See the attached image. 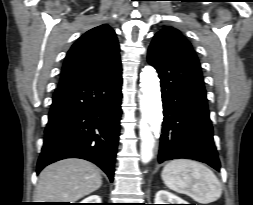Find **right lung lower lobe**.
Instances as JSON below:
<instances>
[{
  "instance_id": "98d812e1",
  "label": "right lung lower lobe",
  "mask_w": 253,
  "mask_h": 205,
  "mask_svg": "<svg viewBox=\"0 0 253 205\" xmlns=\"http://www.w3.org/2000/svg\"><path fill=\"white\" fill-rule=\"evenodd\" d=\"M121 85L119 64L102 75L55 90L37 173L55 161L81 158L97 164L113 181Z\"/></svg>"
}]
</instances>
